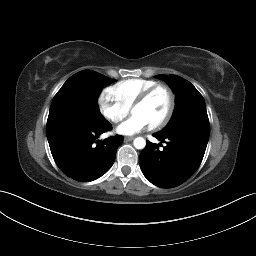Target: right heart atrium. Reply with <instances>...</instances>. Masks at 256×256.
<instances>
[{
  "label": "right heart atrium",
  "mask_w": 256,
  "mask_h": 256,
  "mask_svg": "<svg viewBox=\"0 0 256 256\" xmlns=\"http://www.w3.org/2000/svg\"><path fill=\"white\" fill-rule=\"evenodd\" d=\"M98 106L101 114L112 123L120 122L129 112V108L113 99L108 92H102L100 94Z\"/></svg>",
  "instance_id": "1"
}]
</instances>
